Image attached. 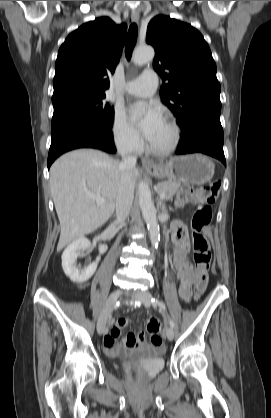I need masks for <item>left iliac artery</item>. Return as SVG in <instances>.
Instances as JSON below:
<instances>
[{"mask_svg": "<svg viewBox=\"0 0 271 418\" xmlns=\"http://www.w3.org/2000/svg\"><path fill=\"white\" fill-rule=\"evenodd\" d=\"M151 301H152L153 304L158 305L160 307V309H162L164 311L166 310V306L162 301H160L158 299H155V298H152ZM169 324H170L171 328L175 327V323L173 322V320L171 318H169Z\"/></svg>", "mask_w": 271, "mask_h": 418, "instance_id": "obj_1", "label": "left iliac artery"}]
</instances>
